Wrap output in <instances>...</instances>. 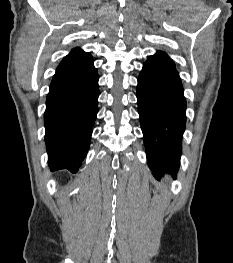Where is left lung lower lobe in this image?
<instances>
[{
	"label": "left lung lower lobe",
	"mask_w": 233,
	"mask_h": 263,
	"mask_svg": "<svg viewBox=\"0 0 233 263\" xmlns=\"http://www.w3.org/2000/svg\"><path fill=\"white\" fill-rule=\"evenodd\" d=\"M138 112L148 164L157 179L176 175L186 124V100L175 64L157 52L143 65L137 85Z\"/></svg>",
	"instance_id": "1"
}]
</instances>
